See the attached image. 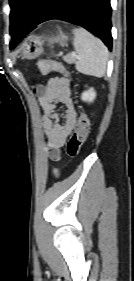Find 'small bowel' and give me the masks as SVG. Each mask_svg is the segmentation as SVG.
<instances>
[{"instance_id": "small-bowel-1", "label": "small bowel", "mask_w": 134, "mask_h": 281, "mask_svg": "<svg viewBox=\"0 0 134 281\" xmlns=\"http://www.w3.org/2000/svg\"><path fill=\"white\" fill-rule=\"evenodd\" d=\"M38 102L43 109L41 119L48 140V156L53 161H59L61 147L72 133L77 117L69 83L62 78L50 79L38 92Z\"/></svg>"}]
</instances>
